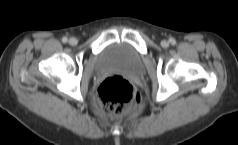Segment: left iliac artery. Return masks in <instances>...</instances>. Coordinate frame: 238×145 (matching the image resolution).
Segmentation results:
<instances>
[{
    "mask_svg": "<svg viewBox=\"0 0 238 145\" xmlns=\"http://www.w3.org/2000/svg\"><path fill=\"white\" fill-rule=\"evenodd\" d=\"M170 43H171L172 45H175V44H176L175 39L171 38V39H170Z\"/></svg>",
    "mask_w": 238,
    "mask_h": 145,
    "instance_id": "1",
    "label": "left iliac artery"
}]
</instances>
